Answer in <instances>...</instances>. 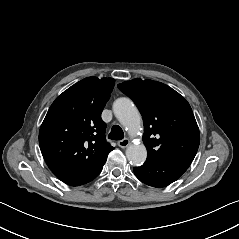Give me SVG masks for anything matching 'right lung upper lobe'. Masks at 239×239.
I'll return each instance as SVG.
<instances>
[{
	"label": "right lung upper lobe",
	"mask_w": 239,
	"mask_h": 239,
	"mask_svg": "<svg viewBox=\"0 0 239 239\" xmlns=\"http://www.w3.org/2000/svg\"><path fill=\"white\" fill-rule=\"evenodd\" d=\"M115 80L87 77L56 98L40 127L39 146L50 170L86 172L114 149L106 142L102 110Z\"/></svg>",
	"instance_id": "obj_1"
}]
</instances>
